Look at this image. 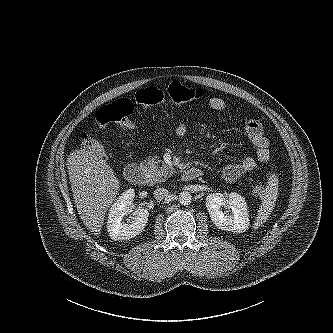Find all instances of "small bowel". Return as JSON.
Masks as SVG:
<instances>
[{
	"label": "small bowel",
	"mask_w": 333,
	"mask_h": 333,
	"mask_svg": "<svg viewBox=\"0 0 333 333\" xmlns=\"http://www.w3.org/2000/svg\"><path fill=\"white\" fill-rule=\"evenodd\" d=\"M208 105L217 112H224L228 109L227 102L220 97L209 98ZM244 129L255 147V156H245L239 162L228 163L223 166L222 175L230 182L236 181L253 171L259 165L267 162L270 157V144L262 124L256 119L248 118L245 120ZM187 131L188 127L185 123L178 124L175 129L176 134L180 137L186 135Z\"/></svg>",
	"instance_id": "obj_1"
}]
</instances>
